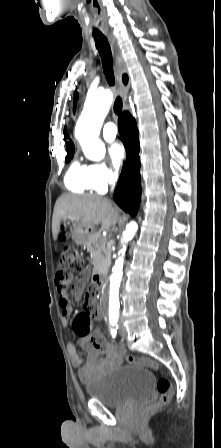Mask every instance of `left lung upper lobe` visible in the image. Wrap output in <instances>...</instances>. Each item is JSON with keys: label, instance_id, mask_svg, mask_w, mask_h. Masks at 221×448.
<instances>
[{"label": "left lung upper lobe", "instance_id": "left-lung-upper-lobe-1", "mask_svg": "<svg viewBox=\"0 0 221 448\" xmlns=\"http://www.w3.org/2000/svg\"><path fill=\"white\" fill-rule=\"evenodd\" d=\"M75 98H76V99L78 98V93H77V92H75Z\"/></svg>", "mask_w": 221, "mask_h": 448}]
</instances>
